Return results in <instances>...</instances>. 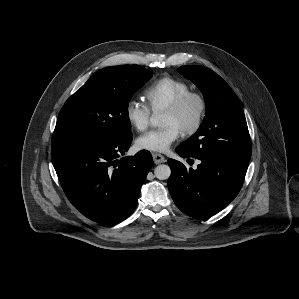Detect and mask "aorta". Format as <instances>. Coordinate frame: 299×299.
Instances as JSON below:
<instances>
[{
    "label": "aorta",
    "mask_w": 299,
    "mask_h": 299,
    "mask_svg": "<svg viewBox=\"0 0 299 299\" xmlns=\"http://www.w3.org/2000/svg\"><path fill=\"white\" fill-rule=\"evenodd\" d=\"M150 122L155 127H164L165 119L163 115H152ZM155 177L159 180H166L171 175V169L166 164H160L154 169Z\"/></svg>",
    "instance_id": "obj_1"
}]
</instances>
